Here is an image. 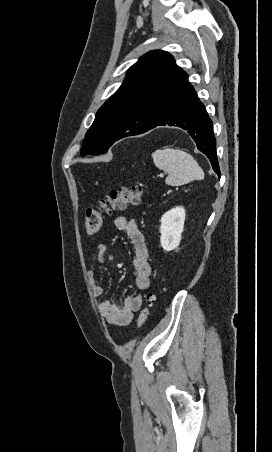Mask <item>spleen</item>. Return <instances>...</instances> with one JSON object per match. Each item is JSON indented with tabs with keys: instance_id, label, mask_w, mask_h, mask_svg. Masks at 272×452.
<instances>
[{
	"instance_id": "3e777b00",
	"label": "spleen",
	"mask_w": 272,
	"mask_h": 452,
	"mask_svg": "<svg viewBox=\"0 0 272 452\" xmlns=\"http://www.w3.org/2000/svg\"><path fill=\"white\" fill-rule=\"evenodd\" d=\"M152 158L157 168L168 173L165 180L168 185L180 186L204 178V172L197 161L182 150L157 149L152 153Z\"/></svg>"
}]
</instances>
